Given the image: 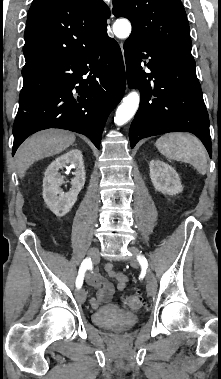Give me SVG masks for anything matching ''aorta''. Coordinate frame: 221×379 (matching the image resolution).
Returning a JSON list of instances; mask_svg holds the SVG:
<instances>
[{"mask_svg":"<svg viewBox=\"0 0 221 379\" xmlns=\"http://www.w3.org/2000/svg\"><path fill=\"white\" fill-rule=\"evenodd\" d=\"M114 34L121 39L127 38L131 33V24L127 19H118L113 25ZM140 95L137 91L130 92L116 110L114 123L121 126L128 122L138 109Z\"/></svg>","mask_w":221,"mask_h":379,"instance_id":"762f6f07","label":"aorta"}]
</instances>
